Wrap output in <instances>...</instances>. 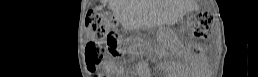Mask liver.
<instances>
[{
  "mask_svg": "<svg viewBox=\"0 0 258 77\" xmlns=\"http://www.w3.org/2000/svg\"><path fill=\"white\" fill-rule=\"evenodd\" d=\"M113 12L122 19L123 26H152L163 21L164 16L157 0H109Z\"/></svg>",
  "mask_w": 258,
  "mask_h": 77,
  "instance_id": "obj_1",
  "label": "liver"
}]
</instances>
